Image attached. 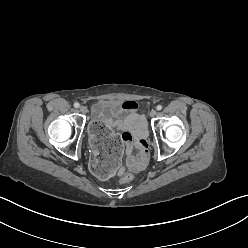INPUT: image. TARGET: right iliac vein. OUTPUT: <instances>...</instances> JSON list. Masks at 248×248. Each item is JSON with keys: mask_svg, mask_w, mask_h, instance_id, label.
<instances>
[{"mask_svg": "<svg viewBox=\"0 0 248 248\" xmlns=\"http://www.w3.org/2000/svg\"><path fill=\"white\" fill-rule=\"evenodd\" d=\"M80 111L85 114L87 112V108L85 106H80Z\"/></svg>", "mask_w": 248, "mask_h": 248, "instance_id": "right-iliac-vein-1", "label": "right iliac vein"}]
</instances>
